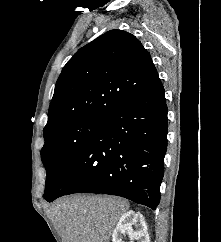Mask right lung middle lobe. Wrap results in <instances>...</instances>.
<instances>
[{
  "label": "right lung middle lobe",
  "mask_w": 221,
  "mask_h": 242,
  "mask_svg": "<svg viewBox=\"0 0 221 242\" xmlns=\"http://www.w3.org/2000/svg\"><path fill=\"white\" fill-rule=\"evenodd\" d=\"M102 123L103 118H83L59 125L43 134L45 145L41 150V159L47 172L46 200L66 166Z\"/></svg>",
  "instance_id": "obj_1"
}]
</instances>
